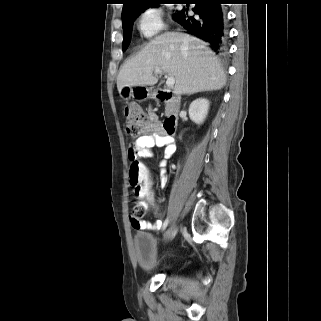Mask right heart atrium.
Wrapping results in <instances>:
<instances>
[{
    "label": "right heart atrium",
    "instance_id": "obj_1",
    "mask_svg": "<svg viewBox=\"0 0 321 321\" xmlns=\"http://www.w3.org/2000/svg\"><path fill=\"white\" fill-rule=\"evenodd\" d=\"M137 25L143 36H156L165 28L162 11L156 7L145 8L138 17Z\"/></svg>",
    "mask_w": 321,
    "mask_h": 321
}]
</instances>
